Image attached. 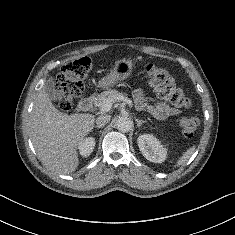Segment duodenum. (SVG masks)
<instances>
[{
  "label": "duodenum",
  "mask_w": 235,
  "mask_h": 235,
  "mask_svg": "<svg viewBox=\"0 0 235 235\" xmlns=\"http://www.w3.org/2000/svg\"><path fill=\"white\" fill-rule=\"evenodd\" d=\"M93 103H94L93 97L91 96L85 97L79 102L78 110L80 112H87L92 108Z\"/></svg>",
  "instance_id": "duodenum-1"
}]
</instances>
